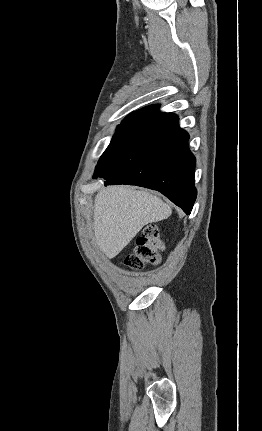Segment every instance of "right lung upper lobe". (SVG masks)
Segmentation results:
<instances>
[{
  "label": "right lung upper lobe",
  "mask_w": 262,
  "mask_h": 431,
  "mask_svg": "<svg viewBox=\"0 0 262 431\" xmlns=\"http://www.w3.org/2000/svg\"><path fill=\"white\" fill-rule=\"evenodd\" d=\"M159 105H151L129 114L119 126L131 127L134 124L159 113Z\"/></svg>",
  "instance_id": "right-lung-upper-lobe-1"
}]
</instances>
